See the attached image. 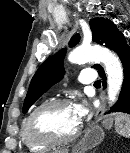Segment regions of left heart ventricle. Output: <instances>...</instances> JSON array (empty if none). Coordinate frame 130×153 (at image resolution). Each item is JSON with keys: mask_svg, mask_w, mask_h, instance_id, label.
<instances>
[{"mask_svg": "<svg viewBox=\"0 0 130 153\" xmlns=\"http://www.w3.org/2000/svg\"><path fill=\"white\" fill-rule=\"evenodd\" d=\"M73 106H60L45 111L35 121V129L38 132H48L58 137L70 135L78 126Z\"/></svg>", "mask_w": 130, "mask_h": 153, "instance_id": "b2bd125f", "label": "left heart ventricle"}]
</instances>
